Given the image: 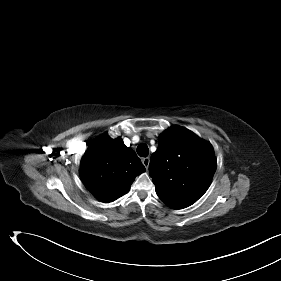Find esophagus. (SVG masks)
<instances>
[{
    "label": "esophagus",
    "mask_w": 281,
    "mask_h": 281,
    "mask_svg": "<svg viewBox=\"0 0 281 281\" xmlns=\"http://www.w3.org/2000/svg\"><path fill=\"white\" fill-rule=\"evenodd\" d=\"M142 163L145 166L146 169H148L149 164H150V158L149 157H145L142 159Z\"/></svg>",
    "instance_id": "obj_1"
}]
</instances>
